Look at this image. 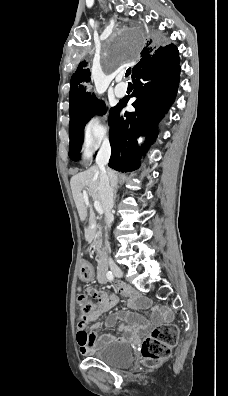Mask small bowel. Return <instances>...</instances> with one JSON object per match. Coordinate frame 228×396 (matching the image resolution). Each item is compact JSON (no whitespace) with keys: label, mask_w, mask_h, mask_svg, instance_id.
Returning a JSON list of instances; mask_svg holds the SVG:
<instances>
[{"label":"small bowel","mask_w":228,"mask_h":396,"mask_svg":"<svg viewBox=\"0 0 228 396\" xmlns=\"http://www.w3.org/2000/svg\"><path fill=\"white\" fill-rule=\"evenodd\" d=\"M81 272L84 278H89L93 274L91 265L84 262L81 267ZM98 282L104 284L107 282L105 272L102 276L98 274ZM118 292L128 298L127 305L133 310H143L148 307V302L142 296L128 291L123 285L117 284ZM88 293L96 300L97 308L90 316V321L94 322L89 330L84 327L78 328L77 342L80 352L88 354L96 346L107 344L114 341L125 340L130 336L143 334L148 329L146 319L138 313L129 311H118L109 315L105 321L98 322L97 319L103 313L113 308L118 303V297L114 294H109L105 291L98 290L94 287L88 288ZM121 321L118 330L124 333L122 337H115L112 335H98L102 326L111 327L117 322Z\"/></svg>","instance_id":"obj_1"}]
</instances>
